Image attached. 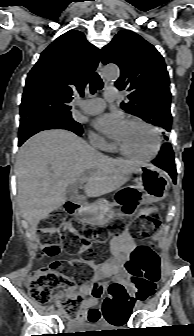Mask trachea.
I'll return each mask as SVG.
<instances>
[{"instance_id": "1", "label": "trachea", "mask_w": 194, "mask_h": 336, "mask_svg": "<svg viewBox=\"0 0 194 336\" xmlns=\"http://www.w3.org/2000/svg\"><path fill=\"white\" fill-rule=\"evenodd\" d=\"M103 88V82L100 76L94 72L90 78V91L91 93H95L97 90H101Z\"/></svg>"}]
</instances>
